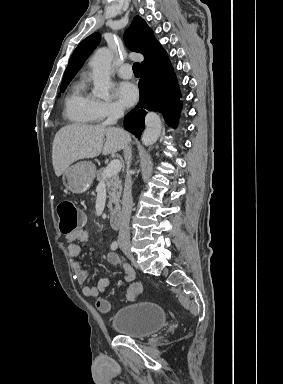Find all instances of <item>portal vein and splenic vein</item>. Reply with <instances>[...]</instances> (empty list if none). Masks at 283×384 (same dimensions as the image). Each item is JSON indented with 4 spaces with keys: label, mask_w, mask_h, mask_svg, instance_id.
I'll list each match as a JSON object with an SVG mask.
<instances>
[{
    "label": "portal vein and splenic vein",
    "mask_w": 283,
    "mask_h": 384,
    "mask_svg": "<svg viewBox=\"0 0 283 384\" xmlns=\"http://www.w3.org/2000/svg\"><path fill=\"white\" fill-rule=\"evenodd\" d=\"M121 168L122 164L120 160H112V162H110V164H108L107 168H105L104 170V178H111V176H117Z\"/></svg>",
    "instance_id": "18ae733b"
}]
</instances>
